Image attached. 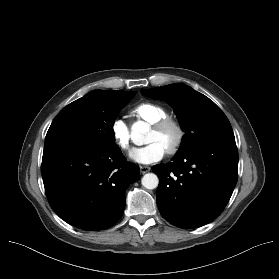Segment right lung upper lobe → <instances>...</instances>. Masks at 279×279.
<instances>
[{"label":"right lung upper lobe","instance_id":"cb5924a9","mask_svg":"<svg viewBox=\"0 0 279 279\" xmlns=\"http://www.w3.org/2000/svg\"><path fill=\"white\" fill-rule=\"evenodd\" d=\"M98 91H102V92H105V93H110V94H125V93H128V94H135V92H124V91H111V90H98Z\"/></svg>","mask_w":279,"mask_h":279}]
</instances>
